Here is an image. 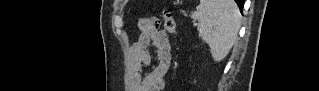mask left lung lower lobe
<instances>
[{
  "instance_id": "left-lung-lower-lobe-1",
  "label": "left lung lower lobe",
  "mask_w": 319,
  "mask_h": 91,
  "mask_svg": "<svg viewBox=\"0 0 319 91\" xmlns=\"http://www.w3.org/2000/svg\"><path fill=\"white\" fill-rule=\"evenodd\" d=\"M235 2L238 4L240 11L242 13L243 11V4H244V0H235Z\"/></svg>"
}]
</instances>
